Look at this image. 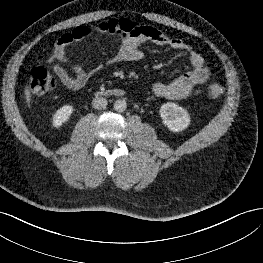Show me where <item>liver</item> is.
Returning <instances> with one entry per match:
<instances>
[{
  "label": "liver",
  "instance_id": "6515ba94",
  "mask_svg": "<svg viewBox=\"0 0 263 263\" xmlns=\"http://www.w3.org/2000/svg\"><path fill=\"white\" fill-rule=\"evenodd\" d=\"M25 99H26V104L28 105V107L30 106L31 103V94H30V89L28 86L25 87Z\"/></svg>",
  "mask_w": 263,
  "mask_h": 263
}]
</instances>
